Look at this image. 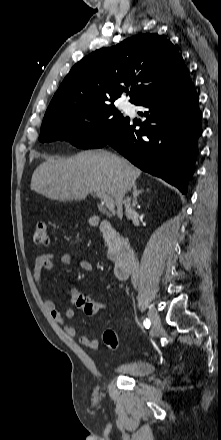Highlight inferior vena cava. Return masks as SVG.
Here are the masks:
<instances>
[{"label": "inferior vena cava", "instance_id": "inferior-vena-cava-1", "mask_svg": "<svg viewBox=\"0 0 221 440\" xmlns=\"http://www.w3.org/2000/svg\"><path fill=\"white\" fill-rule=\"evenodd\" d=\"M124 205H125V213L128 219H132L136 212L135 210L131 207V199L129 197H127L124 200ZM138 279H139V263L138 261H135L133 264V268H132V276H131V280H132V284L136 287L137 283H138Z\"/></svg>", "mask_w": 221, "mask_h": 440}]
</instances>
